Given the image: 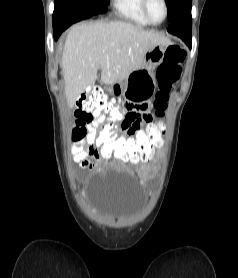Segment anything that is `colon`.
Segmentation results:
<instances>
[{
    "label": "colon",
    "instance_id": "1",
    "mask_svg": "<svg viewBox=\"0 0 238 278\" xmlns=\"http://www.w3.org/2000/svg\"><path fill=\"white\" fill-rule=\"evenodd\" d=\"M185 51L179 46H169L163 62L157 69L158 92L154 102L157 115H162L166 108L169 92L178 82ZM130 107H122L115 99L108 97L99 88H91L77 100L75 126L72 131L74 139H82L87 133V126L93 122H106V127L98 133L96 141L100 159H117V162H149L155 156L156 149H162L164 141L160 136L165 130H137L134 137H120L123 131L118 127L123 123ZM166 124H146V129H166ZM120 135V136H119ZM147 135H149L147 137Z\"/></svg>",
    "mask_w": 238,
    "mask_h": 278
}]
</instances>
